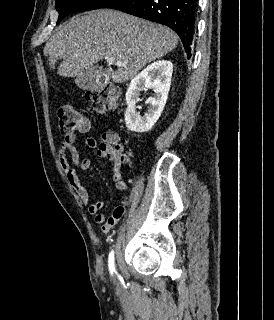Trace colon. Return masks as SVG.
<instances>
[{
	"label": "colon",
	"mask_w": 274,
	"mask_h": 320,
	"mask_svg": "<svg viewBox=\"0 0 274 320\" xmlns=\"http://www.w3.org/2000/svg\"><path fill=\"white\" fill-rule=\"evenodd\" d=\"M115 87L105 85L99 89L86 90L83 94L85 101L97 112H107L113 106ZM58 127L65 136H72L80 132L81 120H88L79 110L69 104H62L57 108ZM101 149L108 151L110 157L119 160L122 155V147L118 136L113 132H106L102 135Z\"/></svg>",
	"instance_id": "5ec220e1"
}]
</instances>
